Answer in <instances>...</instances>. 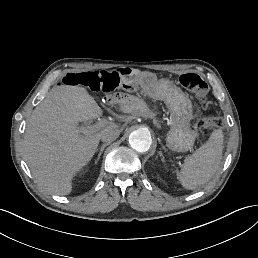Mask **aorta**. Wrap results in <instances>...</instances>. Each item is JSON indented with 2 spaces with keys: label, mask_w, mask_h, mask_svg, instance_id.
<instances>
[{
  "label": "aorta",
  "mask_w": 258,
  "mask_h": 258,
  "mask_svg": "<svg viewBox=\"0 0 258 258\" xmlns=\"http://www.w3.org/2000/svg\"><path fill=\"white\" fill-rule=\"evenodd\" d=\"M129 144L137 152H147L152 144L149 130L140 128L131 132L129 135Z\"/></svg>",
  "instance_id": "1"
}]
</instances>
